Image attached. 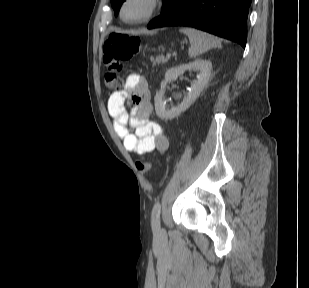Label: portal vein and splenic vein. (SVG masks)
<instances>
[{"label":"portal vein and splenic vein","mask_w":309,"mask_h":288,"mask_svg":"<svg viewBox=\"0 0 309 288\" xmlns=\"http://www.w3.org/2000/svg\"><path fill=\"white\" fill-rule=\"evenodd\" d=\"M166 57H167V58H170V57H171V53L168 52V53L166 54Z\"/></svg>","instance_id":"1"}]
</instances>
